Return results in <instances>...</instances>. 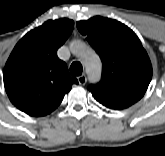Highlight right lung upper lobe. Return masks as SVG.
<instances>
[{"label":"right lung upper lobe","instance_id":"right-lung-upper-lobe-1","mask_svg":"<svg viewBox=\"0 0 165 156\" xmlns=\"http://www.w3.org/2000/svg\"><path fill=\"white\" fill-rule=\"evenodd\" d=\"M70 19L46 21L28 32L16 44L3 72L4 86L10 101L34 117L55 110L72 84L65 62L57 50L73 30Z\"/></svg>","mask_w":165,"mask_h":156}]
</instances>
